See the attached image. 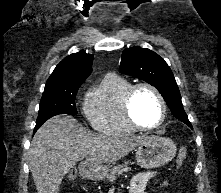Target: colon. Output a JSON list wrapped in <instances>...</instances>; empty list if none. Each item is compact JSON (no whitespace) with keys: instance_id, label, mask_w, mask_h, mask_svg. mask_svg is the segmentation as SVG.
I'll use <instances>...</instances> for the list:
<instances>
[{"instance_id":"5ec220e1","label":"colon","mask_w":221,"mask_h":193,"mask_svg":"<svg viewBox=\"0 0 221 193\" xmlns=\"http://www.w3.org/2000/svg\"><path fill=\"white\" fill-rule=\"evenodd\" d=\"M186 155H187V150L185 148H181L176 159L177 167L182 165V163L186 159ZM72 177H74V174H72Z\"/></svg>"}]
</instances>
